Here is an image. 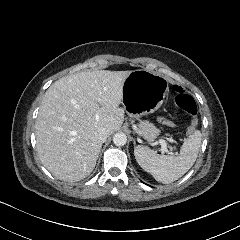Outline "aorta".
Returning <instances> with one entry per match:
<instances>
[{
    "mask_svg": "<svg viewBox=\"0 0 240 240\" xmlns=\"http://www.w3.org/2000/svg\"><path fill=\"white\" fill-rule=\"evenodd\" d=\"M127 142V136L123 132H118L113 136V143L116 146H123Z\"/></svg>",
    "mask_w": 240,
    "mask_h": 240,
    "instance_id": "762f6f07",
    "label": "aorta"
}]
</instances>
